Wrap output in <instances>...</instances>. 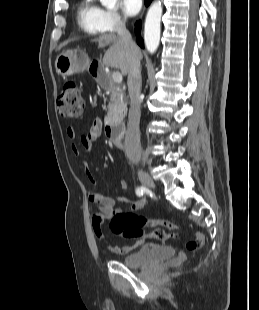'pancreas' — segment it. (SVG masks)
I'll use <instances>...</instances> for the list:
<instances>
[{"mask_svg": "<svg viewBox=\"0 0 259 310\" xmlns=\"http://www.w3.org/2000/svg\"><path fill=\"white\" fill-rule=\"evenodd\" d=\"M111 84V97L108 104L107 116L105 118V123L107 124L120 123L127 114V103L124 101L122 93L113 82H111Z\"/></svg>", "mask_w": 259, "mask_h": 310, "instance_id": "pancreas-1", "label": "pancreas"}]
</instances>
